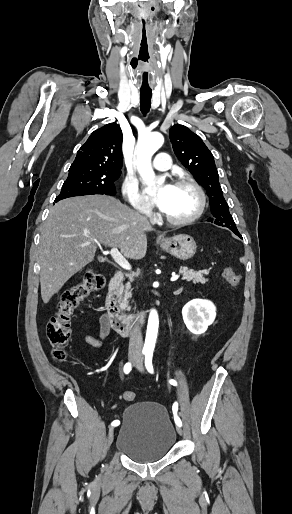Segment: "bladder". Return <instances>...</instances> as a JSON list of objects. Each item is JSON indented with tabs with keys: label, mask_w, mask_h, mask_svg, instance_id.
I'll return each mask as SVG.
<instances>
[{
	"label": "bladder",
	"mask_w": 292,
	"mask_h": 514,
	"mask_svg": "<svg viewBox=\"0 0 292 514\" xmlns=\"http://www.w3.org/2000/svg\"><path fill=\"white\" fill-rule=\"evenodd\" d=\"M176 438L164 406L155 402H135L123 412L116 449L133 462L152 463L170 452Z\"/></svg>",
	"instance_id": "bladder-1"
}]
</instances>
